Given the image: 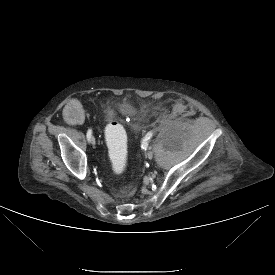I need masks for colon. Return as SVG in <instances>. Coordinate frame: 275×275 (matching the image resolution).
I'll use <instances>...</instances> for the list:
<instances>
[{
  "label": "colon",
  "mask_w": 275,
  "mask_h": 275,
  "mask_svg": "<svg viewBox=\"0 0 275 275\" xmlns=\"http://www.w3.org/2000/svg\"><path fill=\"white\" fill-rule=\"evenodd\" d=\"M106 137L112 171L116 175H120L126 169L127 143L125 132L119 125L110 123L106 127Z\"/></svg>",
  "instance_id": "1"
}]
</instances>
